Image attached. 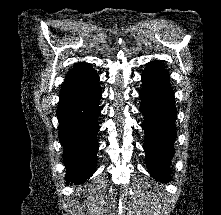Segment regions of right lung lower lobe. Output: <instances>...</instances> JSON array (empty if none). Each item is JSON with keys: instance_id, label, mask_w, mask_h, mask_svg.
<instances>
[{"instance_id": "98d812e1", "label": "right lung lower lobe", "mask_w": 221, "mask_h": 215, "mask_svg": "<svg viewBox=\"0 0 221 215\" xmlns=\"http://www.w3.org/2000/svg\"><path fill=\"white\" fill-rule=\"evenodd\" d=\"M102 92L94 69L66 78L57 108L67 182L83 183L95 171Z\"/></svg>"}]
</instances>
